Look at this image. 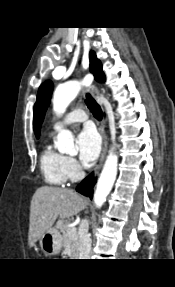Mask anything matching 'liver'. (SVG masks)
Masks as SVG:
<instances>
[{"mask_svg":"<svg viewBox=\"0 0 175 287\" xmlns=\"http://www.w3.org/2000/svg\"><path fill=\"white\" fill-rule=\"evenodd\" d=\"M84 198L67 188L42 186L31 200L28 242L34 246L42 235L52 228L57 217L70 219L86 207Z\"/></svg>","mask_w":175,"mask_h":287,"instance_id":"liver-1","label":"liver"}]
</instances>
